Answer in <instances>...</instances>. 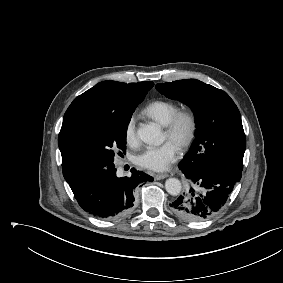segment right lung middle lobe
Masks as SVG:
<instances>
[{
    "mask_svg": "<svg viewBox=\"0 0 283 283\" xmlns=\"http://www.w3.org/2000/svg\"><path fill=\"white\" fill-rule=\"evenodd\" d=\"M139 103L117 111L73 114L62 124L61 154L90 170L113 166L114 152L126 150L128 124Z\"/></svg>",
    "mask_w": 283,
    "mask_h": 283,
    "instance_id": "1",
    "label": "right lung middle lobe"
}]
</instances>
